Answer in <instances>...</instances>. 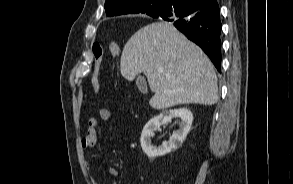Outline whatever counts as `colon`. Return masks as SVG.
<instances>
[{"label":"colon","instance_id":"5ec220e1","mask_svg":"<svg viewBox=\"0 0 293 184\" xmlns=\"http://www.w3.org/2000/svg\"><path fill=\"white\" fill-rule=\"evenodd\" d=\"M108 51L114 57H118L120 55V47L117 43L113 41H110L108 43ZM103 54H104L103 43L100 41L94 42L92 45L94 71L91 78V85H92V90L95 94L99 91V88H100L99 74H100L101 64L103 60Z\"/></svg>","mask_w":293,"mask_h":184}]
</instances>
